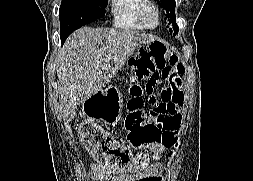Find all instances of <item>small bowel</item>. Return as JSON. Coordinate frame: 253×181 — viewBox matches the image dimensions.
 I'll return each instance as SVG.
<instances>
[{
    "label": "small bowel",
    "mask_w": 253,
    "mask_h": 181,
    "mask_svg": "<svg viewBox=\"0 0 253 181\" xmlns=\"http://www.w3.org/2000/svg\"><path fill=\"white\" fill-rule=\"evenodd\" d=\"M133 68L135 69L139 78L145 79L146 84L144 87L145 93H155L158 88H162L169 92L171 96L174 93H181V87L173 86L169 79L173 75V71L170 68H160L157 66L156 60L152 55L148 53H140L133 59ZM181 105V104H180ZM180 105L173 103L171 106L172 113L178 117L177 128L173 131V135L176 138L178 134V126L181 122V116L179 114ZM89 169L91 173L101 180L111 179V176L95 164H90ZM162 167L159 164H153L138 173L121 175L113 178L114 181H159Z\"/></svg>",
    "instance_id": "small-bowel-1"
}]
</instances>
